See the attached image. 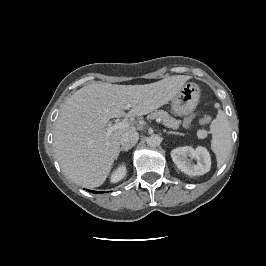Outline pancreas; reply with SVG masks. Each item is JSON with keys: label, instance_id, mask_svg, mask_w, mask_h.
<instances>
[{"label": "pancreas", "instance_id": "1", "mask_svg": "<svg viewBox=\"0 0 266 266\" xmlns=\"http://www.w3.org/2000/svg\"><path fill=\"white\" fill-rule=\"evenodd\" d=\"M149 118H160L163 121V124L172 129H178L179 125L181 124L180 120H176L172 116H170L166 111L164 110H157L149 116Z\"/></svg>", "mask_w": 266, "mask_h": 266}]
</instances>
